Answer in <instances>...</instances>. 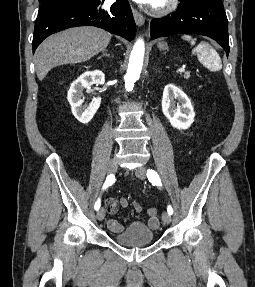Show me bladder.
Here are the masks:
<instances>
[{
	"mask_svg": "<svg viewBox=\"0 0 255 287\" xmlns=\"http://www.w3.org/2000/svg\"><path fill=\"white\" fill-rule=\"evenodd\" d=\"M154 238L153 228L140 221L132 222L121 231L113 234V239L117 243L127 246L150 244Z\"/></svg>",
	"mask_w": 255,
	"mask_h": 287,
	"instance_id": "bladder-1",
	"label": "bladder"
}]
</instances>
